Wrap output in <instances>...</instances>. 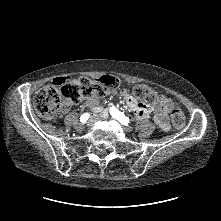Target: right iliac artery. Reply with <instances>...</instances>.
<instances>
[{
  "label": "right iliac artery",
  "mask_w": 221,
  "mask_h": 221,
  "mask_svg": "<svg viewBox=\"0 0 221 221\" xmlns=\"http://www.w3.org/2000/svg\"><path fill=\"white\" fill-rule=\"evenodd\" d=\"M89 114L88 113H84L83 115H81V117H80V121L82 122V123H84V122H86L88 119H89Z\"/></svg>",
  "instance_id": "82829eb1"
}]
</instances>
